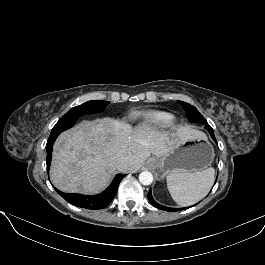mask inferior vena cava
I'll use <instances>...</instances> for the list:
<instances>
[{"mask_svg":"<svg viewBox=\"0 0 265 265\" xmlns=\"http://www.w3.org/2000/svg\"><path fill=\"white\" fill-rule=\"evenodd\" d=\"M126 159L122 152H119L116 157V164L118 167L122 166L125 163Z\"/></svg>","mask_w":265,"mask_h":265,"instance_id":"1","label":"inferior vena cava"}]
</instances>
